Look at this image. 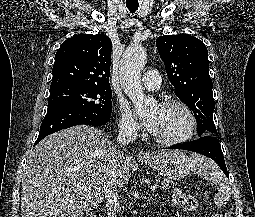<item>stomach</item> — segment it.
I'll list each match as a JSON object with an SVG mask.
<instances>
[{"label":"stomach","mask_w":255,"mask_h":217,"mask_svg":"<svg viewBox=\"0 0 255 217\" xmlns=\"http://www.w3.org/2000/svg\"><path fill=\"white\" fill-rule=\"evenodd\" d=\"M141 161L168 180L185 178L191 168L190 159L181 151H166Z\"/></svg>","instance_id":"stomach-1"}]
</instances>
